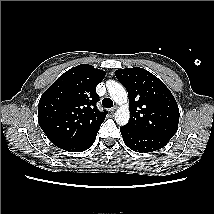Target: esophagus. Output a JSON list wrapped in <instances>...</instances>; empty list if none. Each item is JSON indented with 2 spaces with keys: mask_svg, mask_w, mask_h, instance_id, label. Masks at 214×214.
<instances>
[{
  "mask_svg": "<svg viewBox=\"0 0 214 214\" xmlns=\"http://www.w3.org/2000/svg\"><path fill=\"white\" fill-rule=\"evenodd\" d=\"M116 109H117V106H114V107H112V108L110 109V111L113 113V112L116 111Z\"/></svg>",
  "mask_w": 214,
  "mask_h": 214,
  "instance_id": "34e87169",
  "label": "esophagus"
}]
</instances>
